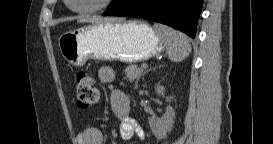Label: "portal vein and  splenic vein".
<instances>
[{
  "label": "portal vein and splenic vein",
  "mask_w": 273,
  "mask_h": 144,
  "mask_svg": "<svg viewBox=\"0 0 273 144\" xmlns=\"http://www.w3.org/2000/svg\"><path fill=\"white\" fill-rule=\"evenodd\" d=\"M142 67L143 68H147V64H142Z\"/></svg>",
  "instance_id": "obj_1"
}]
</instances>
